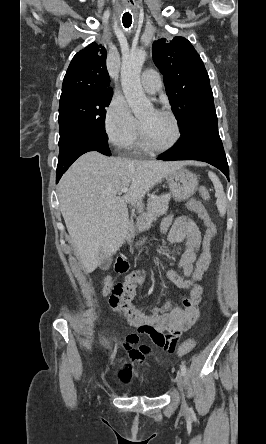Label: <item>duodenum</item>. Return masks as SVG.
<instances>
[{
  "mask_svg": "<svg viewBox=\"0 0 266 444\" xmlns=\"http://www.w3.org/2000/svg\"><path fill=\"white\" fill-rule=\"evenodd\" d=\"M116 265H117V266H118V265H121V266L125 267V266H127V262L124 260L123 257L119 256V257L117 258V263H116Z\"/></svg>",
  "mask_w": 266,
  "mask_h": 444,
  "instance_id": "1",
  "label": "duodenum"
}]
</instances>
